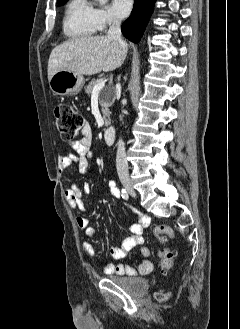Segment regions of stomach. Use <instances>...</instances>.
Wrapping results in <instances>:
<instances>
[{
	"instance_id": "stomach-1",
	"label": "stomach",
	"mask_w": 240,
	"mask_h": 329,
	"mask_svg": "<svg viewBox=\"0 0 240 329\" xmlns=\"http://www.w3.org/2000/svg\"><path fill=\"white\" fill-rule=\"evenodd\" d=\"M84 85V78L81 74L67 70L57 71L49 80V87L53 94L65 96L76 95Z\"/></svg>"
}]
</instances>
